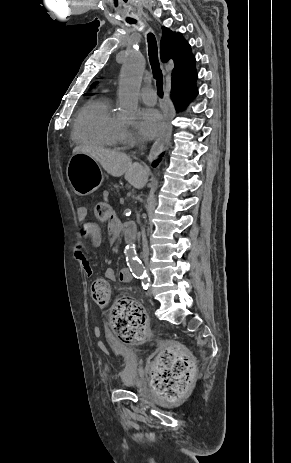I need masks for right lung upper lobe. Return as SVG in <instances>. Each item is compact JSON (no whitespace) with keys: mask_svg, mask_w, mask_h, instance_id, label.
<instances>
[{"mask_svg":"<svg viewBox=\"0 0 291 463\" xmlns=\"http://www.w3.org/2000/svg\"><path fill=\"white\" fill-rule=\"evenodd\" d=\"M160 54L161 60L167 62L173 59L175 68L172 72V87L189 83L196 73L195 57L192 55L190 45L182 38L180 33H174L162 27Z\"/></svg>","mask_w":291,"mask_h":463,"instance_id":"obj_1","label":"right lung upper lobe"}]
</instances>
